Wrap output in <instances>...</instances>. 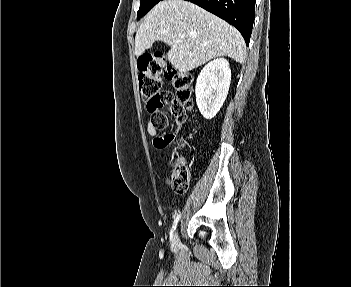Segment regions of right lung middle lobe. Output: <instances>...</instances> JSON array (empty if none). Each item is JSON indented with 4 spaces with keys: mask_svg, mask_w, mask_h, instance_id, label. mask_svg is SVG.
Listing matches in <instances>:
<instances>
[{
    "mask_svg": "<svg viewBox=\"0 0 351 287\" xmlns=\"http://www.w3.org/2000/svg\"><path fill=\"white\" fill-rule=\"evenodd\" d=\"M161 0H140V8L137 12V18L147 14Z\"/></svg>",
    "mask_w": 351,
    "mask_h": 287,
    "instance_id": "1",
    "label": "right lung middle lobe"
}]
</instances>
